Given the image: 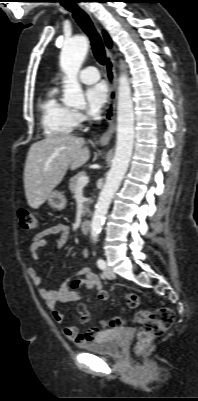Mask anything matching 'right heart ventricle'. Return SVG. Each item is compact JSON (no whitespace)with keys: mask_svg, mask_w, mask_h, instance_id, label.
Wrapping results in <instances>:
<instances>
[{"mask_svg":"<svg viewBox=\"0 0 198 401\" xmlns=\"http://www.w3.org/2000/svg\"><path fill=\"white\" fill-rule=\"evenodd\" d=\"M41 125L48 137H64L73 133L77 126L75 112L58 98V89L47 91L39 104Z\"/></svg>","mask_w":198,"mask_h":401,"instance_id":"right-heart-ventricle-1","label":"right heart ventricle"}]
</instances>
